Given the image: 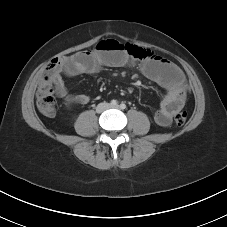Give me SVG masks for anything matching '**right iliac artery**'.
I'll return each instance as SVG.
<instances>
[{
    "instance_id": "1",
    "label": "right iliac artery",
    "mask_w": 227,
    "mask_h": 227,
    "mask_svg": "<svg viewBox=\"0 0 227 227\" xmlns=\"http://www.w3.org/2000/svg\"><path fill=\"white\" fill-rule=\"evenodd\" d=\"M112 106H116L117 105V101L116 100H112L110 103Z\"/></svg>"
}]
</instances>
